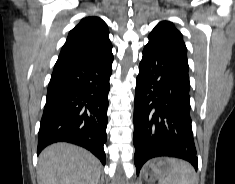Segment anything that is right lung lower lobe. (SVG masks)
<instances>
[{"label": "right lung lower lobe", "instance_id": "obj_1", "mask_svg": "<svg viewBox=\"0 0 235 184\" xmlns=\"http://www.w3.org/2000/svg\"><path fill=\"white\" fill-rule=\"evenodd\" d=\"M113 58L57 61L48 85L38 135L39 154L55 142L86 148L106 163L109 79Z\"/></svg>", "mask_w": 235, "mask_h": 184}]
</instances>
